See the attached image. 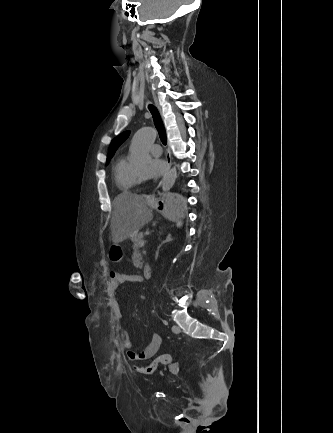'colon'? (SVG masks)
Listing matches in <instances>:
<instances>
[{
	"label": "colon",
	"instance_id": "colon-1",
	"mask_svg": "<svg viewBox=\"0 0 333 433\" xmlns=\"http://www.w3.org/2000/svg\"><path fill=\"white\" fill-rule=\"evenodd\" d=\"M109 255L111 258L112 265H121L122 258L124 255V245L123 244H110L109 245ZM160 364L167 365L170 368L176 365L173 357L169 354H161L157 356L152 362L144 367H138V372L150 375L156 371Z\"/></svg>",
	"mask_w": 333,
	"mask_h": 433
}]
</instances>
